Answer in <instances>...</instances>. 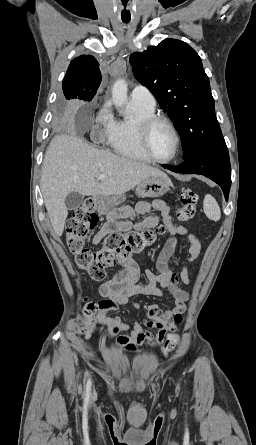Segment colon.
<instances>
[{
	"instance_id": "colon-1",
	"label": "colon",
	"mask_w": 256,
	"mask_h": 445,
	"mask_svg": "<svg viewBox=\"0 0 256 445\" xmlns=\"http://www.w3.org/2000/svg\"><path fill=\"white\" fill-rule=\"evenodd\" d=\"M198 195L189 189L181 192L180 207L177 210V218L180 221H188L197 213ZM94 202L87 199L83 205L77 209L73 218L67 224V245L73 254L80 269L96 280L105 278V270L113 267L117 261L129 259L132 255L143 251L153 245L158 236L165 232L163 225L154 228H145L140 231H133L127 234L110 233L104 241L102 249L91 251L86 247L89 234L94 230L99 222L97 214L93 211ZM99 312L96 303L85 300L84 316L87 322L81 323V332L90 335L93 330V320ZM182 315L177 318L182 322ZM178 338L175 334H167L163 341L165 352L172 351Z\"/></svg>"
}]
</instances>
